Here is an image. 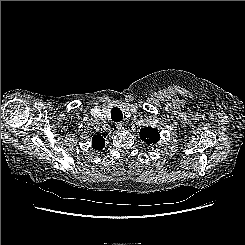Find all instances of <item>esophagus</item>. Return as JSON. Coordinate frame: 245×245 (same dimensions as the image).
Instances as JSON below:
<instances>
[{"mask_svg": "<svg viewBox=\"0 0 245 245\" xmlns=\"http://www.w3.org/2000/svg\"><path fill=\"white\" fill-rule=\"evenodd\" d=\"M116 127L119 130H123L125 128V124L123 122L116 123Z\"/></svg>", "mask_w": 245, "mask_h": 245, "instance_id": "1", "label": "esophagus"}]
</instances>
